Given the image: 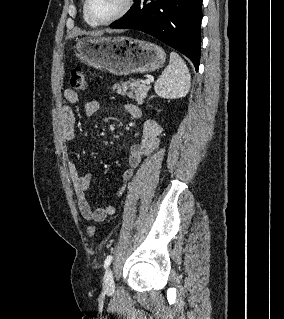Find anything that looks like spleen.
I'll use <instances>...</instances> for the list:
<instances>
[{
	"mask_svg": "<svg viewBox=\"0 0 284 319\" xmlns=\"http://www.w3.org/2000/svg\"><path fill=\"white\" fill-rule=\"evenodd\" d=\"M190 74L185 62L176 53H170L169 65L154 85L155 93L166 99L182 98L190 89Z\"/></svg>",
	"mask_w": 284,
	"mask_h": 319,
	"instance_id": "spleen-1",
	"label": "spleen"
}]
</instances>
